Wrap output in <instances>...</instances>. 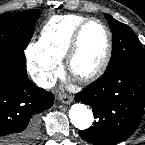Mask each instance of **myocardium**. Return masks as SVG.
<instances>
[{
    "instance_id": "myocardium-1",
    "label": "myocardium",
    "mask_w": 145,
    "mask_h": 145,
    "mask_svg": "<svg viewBox=\"0 0 145 145\" xmlns=\"http://www.w3.org/2000/svg\"><path fill=\"white\" fill-rule=\"evenodd\" d=\"M91 23H97L102 27L106 36V49L102 57V60L100 61V63L95 69H93L92 71L84 75L75 76L72 71L73 61L80 49V40H81L82 33L84 29L86 28V26ZM112 54H113V39H112V35L108 26L100 19L88 18L76 28L72 36L68 50L64 57V67H65L66 72L74 76L79 82L85 83V84L91 83L97 80L98 78H100L105 73V71L107 70L110 64Z\"/></svg>"
}]
</instances>
